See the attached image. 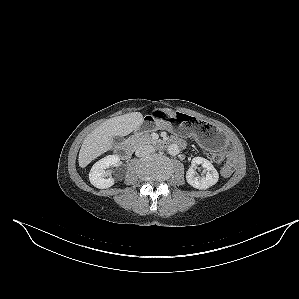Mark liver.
Returning <instances> with one entry per match:
<instances>
[{"label":"liver","instance_id":"6515ba94","mask_svg":"<svg viewBox=\"0 0 299 299\" xmlns=\"http://www.w3.org/2000/svg\"><path fill=\"white\" fill-rule=\"evenodd\" d=\"M162 111L171 113V109L163 108ZM144 122L140 112H132L113 117L95 128L84 139L79 151V166L85 168L91 161L110 150L113 146V136H126L138 129Z\"/></svg>","mask_w":299,"mask_h":299}]
</instances>
